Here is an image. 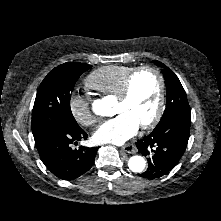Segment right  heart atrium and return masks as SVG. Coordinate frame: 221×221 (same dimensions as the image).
Instances as JSON below:
<instances>
[{"mask_svg":"<svg viewBox=\"0 0 221 221\" xmlns=\"http://www.w3.org/2000/svg\"><path fill=\"white\" fill-rule=\"evenodd\" d=\"M68 107L71 115L80 125L92 126L98 122V117L93 112L88 97L72 93L68 99Z\"/></svg>","mask_w":221,"mask_h":221,"instance_id":"d8ad5b80","label":"right heart atrium"}]
</instances>
